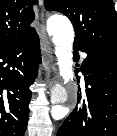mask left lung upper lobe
I'll return each mask as SVG.
<instances>
[{"label":"left lung upper lobe","mask_w":117,"mask_h":136,"mask_svg":"<svg viewBox=\"0 0 117 136\" xmlns=\"http://www.w3.org/2000/svg\"><path fill=\"white\" fill-rule=\"evenodd\" d=\"M44 4L48 11L61 12L72 21L74 43L117 56V15L112 0H44Z\"/></svg>","instance_id":"left-lung-upper-lobe-1"}]
</instances>
